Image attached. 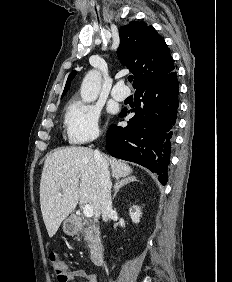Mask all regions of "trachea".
<instances>
[{"label": "trachea", "instance_id": "trachea-1", "mask_svg": "<svg viewBox=\"0 0 232 282\" xmlns=\"http://www.w3.org/2000/svg\"><path fill=\"white\" fill-rule=\"evenodd\" d=\"M128 81H129V82H132V81H133V76H132V75L128 76Z\"/></svg>", "mask_w": 232, "mask_h": 282}]
</instances>
